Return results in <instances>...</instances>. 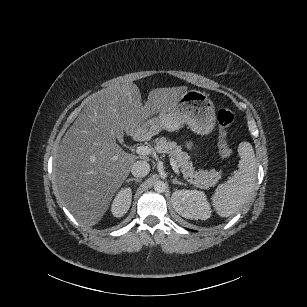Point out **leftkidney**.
<instances>
[{
	"label": "left kidney",
	"instance_id": "1",
	"mask_svg": "<svg viewBox=\"0 0 307 307\" xmlns=\"http://www.w3.org/2000/svg\"><path fill=\"white\" fill-rule=\"evenodd\" d=\"M172 205L181 216L192 220H206L212 215L207 193L198 189H177L172 193Z\"/></svg>",
	"mask_w": 307,
	"mask_h": 307
}]
</instances>
